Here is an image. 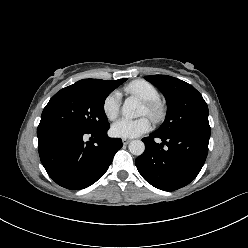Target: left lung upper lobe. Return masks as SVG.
I'll use <instances>...</instances> for the list:
<instances>
[{"label":"left lung upper lobe","mask_w":248,"mask_h":248,"mask_svg":"<svg viewBox=\"0 0 248 248\" xmlns=\"http://www.w3.org/2000/svg\"><path fill=\"white\" fill-rule=\"evenodd\" d=\"M145 79L163 93L167 102L166 118L155 131L157 134L169 136L181 129L209 126L208 106L193 86L167 75H150Z\"/></svg>","instance_id":"obj_1"}]
</instances>
